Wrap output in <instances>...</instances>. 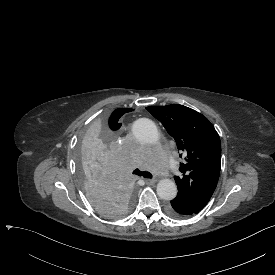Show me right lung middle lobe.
<instances>
[{
	"label": "right lung middle lobe",
	"instance_id": "obj_1",
	"mask_svg": "<svg viewBox=\"0 0 275 275\" xmlns=\"http://www.w3.org/2000/svg\"><path fill=\"white\" fill-rule=\"evenodd\" d=\"M74 165L76 181L94 209L110 218L130 212L133 193L127 188L123 159L102 124L93 123L82 133Z\"/></svg>",
	"mask_w": 275,
	"mask_h": 275
}]
</instances>
